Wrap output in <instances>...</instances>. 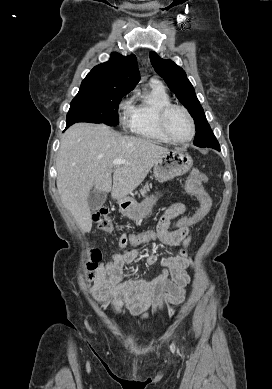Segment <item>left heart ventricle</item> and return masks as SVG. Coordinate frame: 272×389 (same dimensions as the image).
<instances>
[{"label": "left heart ventricle", "mask_w": 272, "mask_h": 389, "mask_svg": "<svg viewBox=\"0 0 272 389\" xmlns=\"http://www.w3.org/2000/svg\"><path fill=\"white\" fill-rule=\"evenodd\" d=\"M171 135L179 140L187 139L191 135V126L188 118L181 110H173L167 120Z\"/></svg>", "instance_id": "b2bd125f"}]
</instances>
